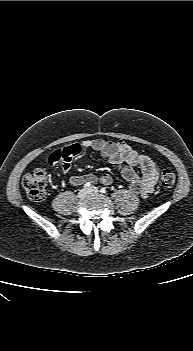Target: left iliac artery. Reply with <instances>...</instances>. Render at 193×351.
<instances>
[{"mask_svg":"<svg viewBox=\"0 0 193 351\" xmlns=\"http://www.w3.org/2000/svg\"><path fill=\"white\" fill-rule=\"evenodd\" d=\"M100 192H101V193H106V188H104V187L101 188V189H100Z\"/></svg>","mask_w":193,"mask_h":351,"instance_id":"1","label":"left iliac artery"}]
</instances>
